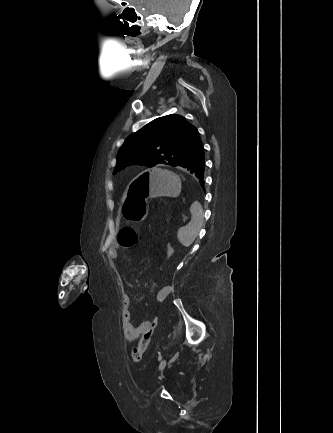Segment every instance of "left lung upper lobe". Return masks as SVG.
Listing matches in <instances>:
<instances>
[{
	"label": "left lung upper lobe",
	"instance_id": "1",
	"mask_svg": "<svg viewBox=\"0 0 333 433\" xmlns=\"http://www.w3.org/2000/svg\"><path fill=\"white\" fill-rule=\"evenodd\" d=\"M201 144L198 130L184 117H159L126 139L118 152L114 173L133 164L177 167Z\"/></svg>",
	"mask_w": 333,
	"mask_h": 433
}]
</instances>
